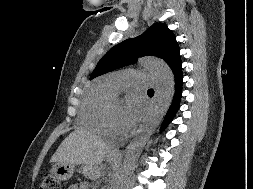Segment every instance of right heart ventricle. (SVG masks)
<instances>
[{
	"mask_svg": "<svg viewBox=\"0 0 253 189\" xmlns=\"http://www.w3.org/2000/svg\"><path fill=\"white\" fill-rule=\"evenodd\" d=\"M114 91L107 82L100 81L88 91L85 96L80 112V124L96 133H105V111L108 106V100Z\"/></svg>",
	"mask_w": 253,
	"mask_h": 189,
	"instance_id": "obj_1",
	"label": "right heart ventricle"
}]
</instances>
